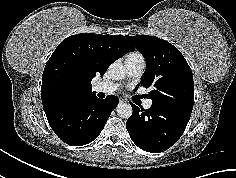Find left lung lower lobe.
Listing matches in <instances>:
<instances>
[{"label":"left lung lower lobe","mask_w":236,"mask_h":178,"mask_svg":"<svg viewBox=\"0 0 236 178\" xmlns=\"http://www.w3.org/2000/svg\"><path fill=\"white\" fill-rule=\"evenodd\" d=\"M133 108L126 122L130 138L140 149L160 153L174 145L183 134L191 113L152 104L151 108Z\"/></svg>","instance_id":"0a47b994"}]
</instances>
